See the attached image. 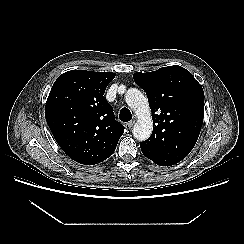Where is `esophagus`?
<instances>
[{"mask_svg":"<svg viewBox=\"0 0 244 244\" xmlns=\"http://www.w3.org/2000/svg\"><path fill=\"white\" fill-rule=\"evenodd\" d=\"M134 123H135V121H129V122L126 124V126H127L128 128H131V127L134 125Z\"/></svg>","mask_w":244,"mask_h":244,"instance_id":"obj_1","label":"esophagus"}]
</instances>
